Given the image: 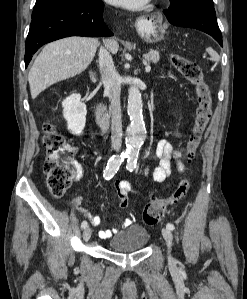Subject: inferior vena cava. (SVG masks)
<instances>
[{
  "instance_id": "602c4592",
  "label": "inferior vena cava",
  "mask_w": 247,
  "mask_h": 299,
  "mask_svg": "<svg viewBox=\"0 0 247 299\" xmlns=\"http://www.w3.org/2000/svg\"><path fill=\"white\" fill-rule=\"evenodd\" d=\"M99 69L105 92L111 102V147L120 151L122 144V114L120 105V79L109 51L101 47L99 51Z\"/></svg>"
}]
</instances>
